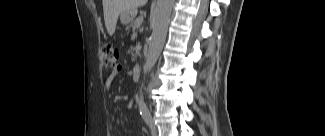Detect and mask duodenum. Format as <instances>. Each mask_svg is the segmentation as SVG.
<instances>
[{
    "mask_svg": "<svg viewBox=\"0 0 325 136\" xmlns=\"http://www.w3.org/2000/svg\"><path fill=\"white\" fill-rule=\"evenodd\" d=\"M141 66L139 64L135 65L132 69V75L134 78H137L140 75Z\"/></svg>",
    "mask_w": 325,
    "mask_h": 136,
    "instance_id": "410a0bca",
    "label": "duodenum"
}]
</instances>
